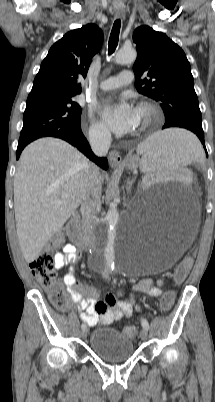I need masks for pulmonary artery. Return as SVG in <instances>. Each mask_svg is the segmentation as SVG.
<instances>
[{
	"label": "pulmonary artery",
	"mask_w": 215,
	"mask_h": 402,
	"mask_svg": "<svg viewBox=\"0 0 215 402\" xmlns=\"http://www.w3.org/2000/svg\"><path fill=\"white\" fill-rule=\"evenodd\" d=\"M133 79L131 71H122L117 76L110 77L100 82L99 88L102 90H111L124 84H129Z\"/></svg>",
	"instance_id": "pulmonary-artery-1"
}]
</instances>
